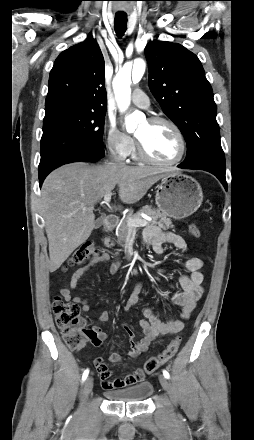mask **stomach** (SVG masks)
Here are the masks:
<instances>
[{
    "instance_id": "1",
    "label": "stomach",
    "mask_w": 254,
    "mask_h": 440,
    "mask_svg": "<svg viewBox=\"0 0 254 440\" xmlns=\"http://www.w3.org/2000/svg\"><path fill=\"white\" fill-rule=\"evenodd\" d=\"M155 201L163 214L179 220L198 210L203 193L194 178L180 172H168L157 186Z\"/></svg>"
}]
</instances>
